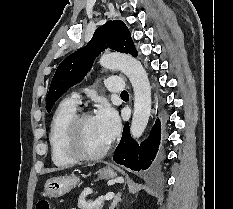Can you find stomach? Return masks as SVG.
<instances>
[{
  "mask_svg": "<svg viewBox=\"0 0 233 209\" xmlns=\"http://www.w3.org/2000/svg\"><path fill=\"white\" fill-rule=\"evenodd\" d=\"M117 176V173L109 168H102L98 171V177L100 179H113ZM80 184V179L74 175H65L49 178L44 186L45 195L49 198H59L71 189Z\"/></svg>",
  "mask_w": 233,
  "mask_h": 209,
  "instance_id": "stomach-1",
  "label": "stomach"
}]
</instances>
